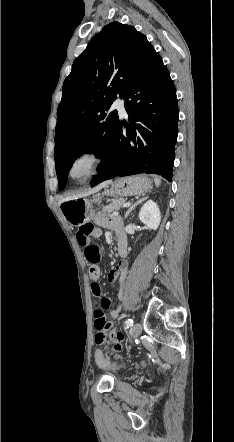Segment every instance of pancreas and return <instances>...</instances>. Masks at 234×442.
I'll return each mask as SVG.
<instances>
[{"instance_id":"cf45deb5","label":"pancreas","mask_w":234,"mask_h":442,"mask_svg":"<svg viewBox=\"0 0 234 442\" xmlns=\"http://www.w3.org/2000/svg\"><path fill=\"white\" fill-rule=\"evenodd\" d=\"M125 202V199L113 200L110 204L102 208V213L110 215L113 212L119 210Z\"/></svg>"}]
</instances>
